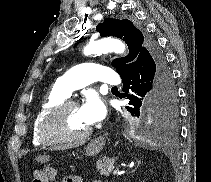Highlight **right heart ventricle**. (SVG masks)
<instances>
[{
    "instance_id": "1",
    "label": "right heart ventricle",
    "mask_w": 211,
    "mask_h": 182,
    "mask_svg": "<svg viewBox=\"0 0 211 182\" xmlns=\"http://www.w3.org/2000/svg\"><path fill=\"white\" fill-rule=\"evenodd\" d=\"M67 97L63 95L56 88H53L42 101L32 123L31 136L32 143L35 146H42L44 142L41 140L39 135V129L45 116L60 102L65 100Z\"/></svg>"
}]
</instances>
